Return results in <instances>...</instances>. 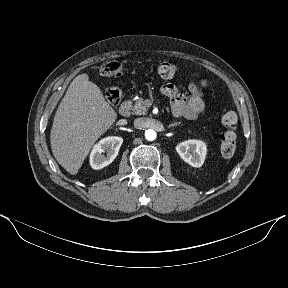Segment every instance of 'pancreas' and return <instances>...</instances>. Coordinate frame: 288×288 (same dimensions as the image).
I'll list each match as a JSON object with an SVG mask.
<instances>
[{
	"label": "pancreas",
	"mask_w": 288,
	"mask_h": 288,
	"mask_svg": "<svg viewBox=\"0 0 288 288\" xmlns=\"http://www.w3.org/2000/svg\"><path fill=\"white\" fill-rule=\"evenodd\" d=\"M133 113L136 115H145L147 114V107L143 98H138L133 103Z\"/></svg>",
	"instance_id": "pancreas-1"
}]
</instances>
